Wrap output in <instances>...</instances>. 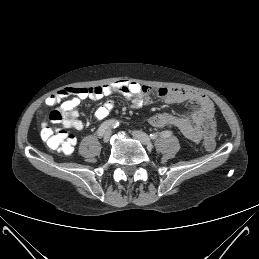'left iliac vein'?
<instances>
[{"mask_svg":"<svg viewBox=\"0 0 259 259\" xmlns=\"http://www.w3.org/2000/svg\"><path fill=\"white\" fill-rule=\"evenodd\" d=\"M132 135L135 139L139 140L143 145H146V146L151 145V139L146 133L142 131L134 130L132 132Z\"/></svg>","mask_w":259,"mask_h":259,"instance_id":"1","label":"left iliac vein"}]
</instances>
